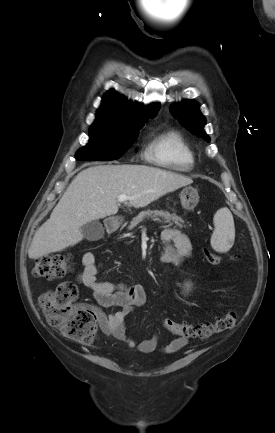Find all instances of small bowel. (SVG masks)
<instances>
[{
	"label": "small bowel",
	"mask_w": 275,
	"mask_h": 433,
	"mask_svg": "<svg viewBox=\"0 0 275 433\" xmlns=\"http://www.w3.org/2000/svg\"><path fill=\"white\" fill-rule=\"evenodd\" d=\"M164 250L161 260L174 265L180 264L191 252L188 237L180 230L167 228L162 232ZM83 270L77 281L92 291L96 305L93 307L102 331L124 342L129 348L137 347L141 352L150 353L157 347V336L143 340L139 344L126 334V317L137 307L146 303V291L140 284H124L97 280V259L93 251L82 256ZM120 307V310L106 314L104 308ZM187 343L185 338H177L167 344L163 351L175 352Z\"/></svg>",
	"instance_id": "obj_1"
}]
</instances>
